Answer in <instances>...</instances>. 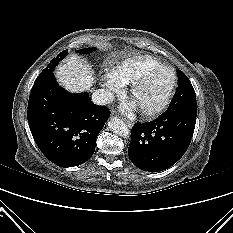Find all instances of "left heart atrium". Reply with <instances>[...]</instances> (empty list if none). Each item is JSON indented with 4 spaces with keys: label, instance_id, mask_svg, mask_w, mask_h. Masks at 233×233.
<instances>
[{
    "label": "left heart atrium",
    "instance_id": "obj_1",
    "mask_svg": "<svg viewBox=\"0 0 233 233\" xmlns=\"http://www.w3.org/2000/svg\"><path fill=\"white\" fill-rule=\"evenodd\" d=\"M132 108H133V105H132V104L126 105V106L124 107L125 110H131Z\"/></svg>",
    "mask_w": 233,
    "mask_h": 233
}]
</instances>
